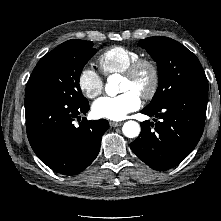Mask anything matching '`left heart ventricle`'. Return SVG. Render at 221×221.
<instances>
[{"label": "left heart ventricle", "mask_w": 221, "mask_h": 221, "mask_svg": "<svg viewBox=\"0 0 221 221\" xmlns=\"http://www.w3.org/2000/svg\"><path fill=\"white\" fill-rule=\"evenodd\" d=\"M149 83L150 73L145 70L140 74L136 81H131L123 77L121 80L120 91H134L139 94L141 91L148 87Z\"/></svg>", "instance_id": "left-heart-ventricle-1"}]
</instances>
